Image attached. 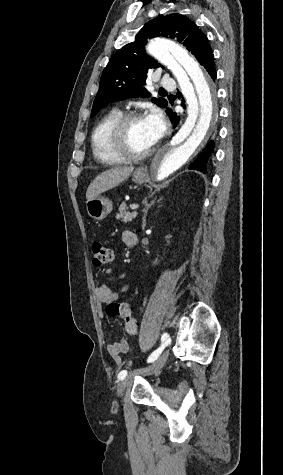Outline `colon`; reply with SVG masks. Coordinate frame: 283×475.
<instances>
[{
    "instance_id": "colon-1",
    "label": "colon",
    "mask_w": 283,
    "mask_h": 475,
    "mask_svg": "<svg viewBox=\"0 0 283 475\" xmlns=\"http://www.w3.org/2000/svg\"><path fill=\"white\" fill-rule=\"evenodd\" d=\"M111 258V252L101 242H96L92 246V262L95 267L104 266ZM131 308L128 304H114L106 305L104 312L106 314H113L116 317H120L125 326L126 332L132 337L136 338L138 335L137 321L130 313Z\"/></svg>"
}]
</instances>
